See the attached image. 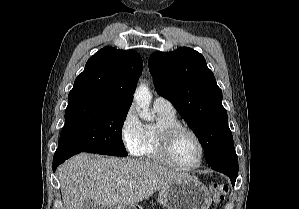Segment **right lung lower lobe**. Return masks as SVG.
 Here are the masks:
<instances>
[{"label": "right lung lower lobe", "mask_w": 299, "mask_h": 209, "mask_svg": "<svg viewBox=\"0 0 299 209\" xmlns=\"http://www.w3.org/2000/svg\"><path fill=\"white\" fill-rule=\"evenodd\" d=\"M81 151L76 150H68V149H57L53 157V171L64 162L66 159L70 158L71 156L80 153Z\"/></svg>", "instance_id": "right-lung-lower-lobe-1"}]
</instances>
